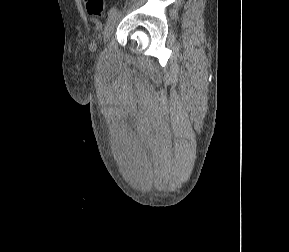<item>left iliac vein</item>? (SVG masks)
Masks as SVG:
<instances>
[{
    "label": "left iliac vein",
    "instance_id": "left-iliac-vein-1",
    "mask_svg": "<svg viewBox=\"0 0 289 252\" xmlns=\"http://www.w3.org/2000/svg\"><path fill=\"white\" fill-rule=\"evenodd\" d=\"M118 18H119L118 13H115L108 18L106 25H105V28H104V32H103L104 42H107L110 39V37H111V35L115 29V26L117 24Z\"/></svg>",
    "mask_w": 289,
    "mask_h": 252
}]
</instances>
